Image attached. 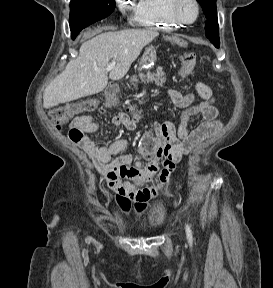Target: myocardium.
I'll list each match as a JSON object with an SVG mask.
<instances>
[{"instance_id":"f54148a6","label":"myocardium","mask_w":273,"mask_h":288,"mask_svg":"<svg viewBox=\"0 0 273 288\" xmlns=\"http://www.w3.org/2000/svg\"><path fill=\"white\" fill-rule=\"evenodd\" d=\"M184 0H169L168 9L170 16L177 21L179 24L189 25L194 23L200 13V5L197 0H190V2L194 5L196 13L193 19L187 20L180 13V6Z\"/></svg>"}]
</instances>
